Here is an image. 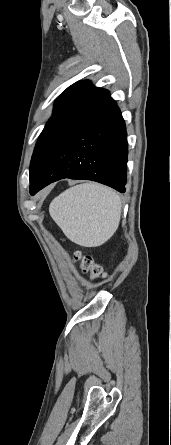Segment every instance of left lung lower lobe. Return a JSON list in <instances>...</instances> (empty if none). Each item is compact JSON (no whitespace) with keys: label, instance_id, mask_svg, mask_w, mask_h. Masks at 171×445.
Listing matches in <instances>:
<instances>
[{"label":"left lung lower lobe","instance_id":"0a47b994","mask_svg":"<svg viewBox=\"0 0 171 445\" xmlns=\"http://www.w3.org/2000/svg\"><path fill=\"white\" fill-rule=\"evenodd\" d=\"M126 137L120 110L109 96L61 138L30 180V194L63 178L92 180L125 192Z\"/></svg>","mask_w":171,"mask_h":445}]
</instances>
